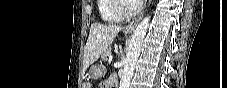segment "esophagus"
I'll list each match as a JSON object with an SVG mask.
<instances>
[{
	"label": "esophagus",
	"mask_w": 227,
	"mask_h": 88,
	"mask_svg": "<svg viewBox=\"0 0 227 88\" xmlns=\"http://www.w3.org/2000/svg\"><path fill=\"white\" fill-rule=\"evenodd\" d=\"M151 3V0L148 1V5ZM143 16V13L140 17L136 18L135 20L131 21L127 26H125L124 30L125 31H133L135 29V27L137 26V23L139 22V20L141 19V17Z\"/></svg>",
	"instance_id": "obj_1"
}]
</instances>
